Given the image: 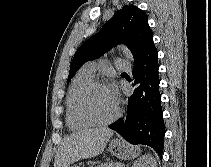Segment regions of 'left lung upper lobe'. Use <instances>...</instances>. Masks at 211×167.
<instances>
[{"instance_id": "left-lung-upper-lobe-1", "label": "left lung upper lobe", "mask_w": 211, "mask_h": 167, "mask_svg": "<svg viewBox=\"0 0 211 167\" xmlns=\"http://www.w3.org/2000/svg\"><path fill=\"white\" fill-rule=\"evenodd\" d=\"M125 44L132 52L134 66L143 61L156 48L147 14L134 5H125L76 51L68 76V82L87 61L102 56L116 44Z\"/></svg>"}]
</instances>
